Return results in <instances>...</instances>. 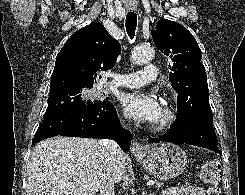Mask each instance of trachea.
<instances>
[{"mask_svg": "<svg viewBox=\"0 0 245 195\" xmlns=\"http://www.w3.org/2000/svg\"><path fill=\"white\" fill-rule=\"evenodd\" d=\"M126 31L131 39L135 36L136 26H137V14L134 12H129L126 15Z\"/></svg>", "mask_w": 245, "mask_h": 195, "instance_id": "3493384b", "label": "trachea"}]
</instances>
